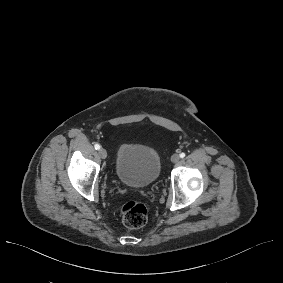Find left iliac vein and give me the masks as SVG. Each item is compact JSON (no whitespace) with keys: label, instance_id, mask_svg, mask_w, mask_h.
I'll return each instance as SVG.
<instances>
[{"label":"left iliac vein","instance_id":"left-iliac-vein-1","mask_svg":"<svg viewBox=\"0 0 283 283\" xmlns=\"http://www.w3.org/2000/svg\"><path fill=\"white\" fill-rule=\"evenodd\" d=\"M180 160V156L178 154H173L172 157H171V161L173 163H176Z\"/></svg>","mask_w":283,"mask_h":283}]
</instances>
